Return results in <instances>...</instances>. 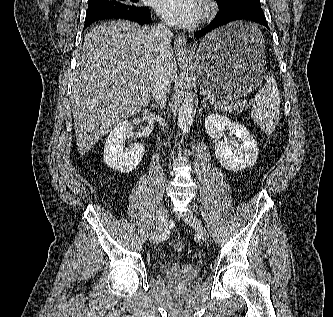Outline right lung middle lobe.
Here are the masks:
<instances>
[{"instance_id": "obj_1", "label": "right lung middle lobe", "mask_w": 333, "mask_h": 317, "mask_svg": "<svg viewBox=\"0 0 333 317\" xmlns=\"http://www.w3.org/2000/svg\"><path fill=\"white\" fill-rule=\"evenodd\" d=\"M143 7L140 0H89L86 14H94L101 12H128L134 10H147Z\"/></svg>"}]
</instances>
